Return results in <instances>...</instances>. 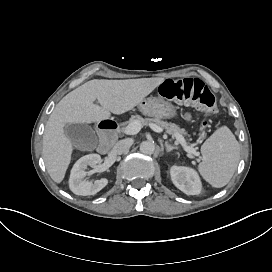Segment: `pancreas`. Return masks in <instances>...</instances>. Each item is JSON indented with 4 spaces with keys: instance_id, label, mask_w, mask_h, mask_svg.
<instances>
[{
    "instance_id": "1",
    "label": "pancreas",
    "mask_w": 272,
    "mask_h": 272,
    "mask_svg": "<svg viewBox=\"0 0 272 272\" xmlns=\"http://www.w3.org/2000/svg\"><path fill=\"white\" fill-rule=\"evenodd\" d=\"M134 120L140 121L142 126H147L151 123H154L160 126L161 128L165 129L168 134H180L182 136L187 135V132L185 131V129L180 128L174 123H168L166 121H162L159 118H142L139 115H135L130 118L129 122L131 123Z\"/></svg>"
}]
</instances>
